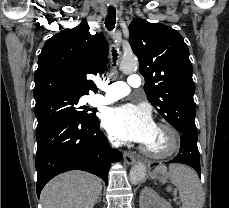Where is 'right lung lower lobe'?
Segmentation results:
<instances>
[{
  "label": "right lung lower lobe",
  "instance_id": "98d812e1",
  "mask_svg": "<svg viewBox=\"0 0 229 208\" xmlns=\"http://www.w3.org/2000/svg\"><path fill=\"white\" fill-rule=\"evenodd\" d=\"M37 185L41 190L54 176L69 170H84L107 184L110 164L121 159L99 129V120L64 117L36 133Z\"/></svg>",
  "mask_w": 229,
  "mask_h": 208
}]
</instances>
